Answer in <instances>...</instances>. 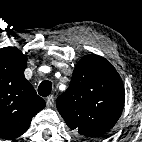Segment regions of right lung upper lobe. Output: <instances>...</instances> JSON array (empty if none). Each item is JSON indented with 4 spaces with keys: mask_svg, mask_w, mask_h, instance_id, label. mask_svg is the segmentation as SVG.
<instances>
[{
    "mask_svg": "<svg viewBox=\"0 0 142 142\" xmlns=\"http://www.w3.org/2000/svg\"><path fill=\"white\" fill-rule=\"evenodd\" d=\"M27 56L16 47L0 49V137H19L32 117L45 107L24 76Z\"/></svg>",
    "mask_w": 142,
    "mask_h": 142,
    "instance_id": "1",
    "label": "right lung upper lobe"
}]
</instances>
